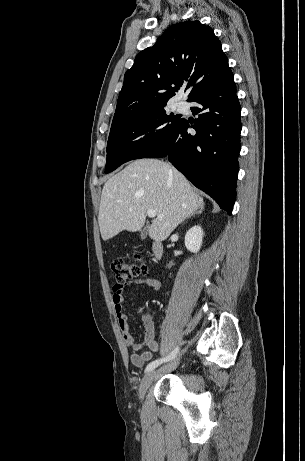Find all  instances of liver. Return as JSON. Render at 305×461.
Instances as JSON below:
<instances>
[{"instance_id":"obj_1","label":"liver","mask_w":305,"mask_h":461,"mask_svg":"<svg viewBox=\"0 0 305 461\" xmlns=\"http://www.w3.org/2000/svg\"><path fill=\"white\" fill-rule=\"evenodd\" d=\"M203 207V198L178 170L156 159L136 160L104 184L98 215L101 237L106 241L123 230L139 231L147 210L153 209L163 217L152 221L148 233L163 241Z\"/></svg>"}]
</instances>
